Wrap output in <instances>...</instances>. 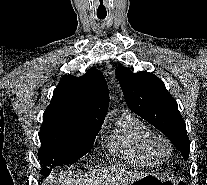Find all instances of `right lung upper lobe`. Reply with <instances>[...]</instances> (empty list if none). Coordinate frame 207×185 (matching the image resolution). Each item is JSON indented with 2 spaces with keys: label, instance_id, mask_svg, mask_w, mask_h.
I'll return each instance as SVG.
<instances>
[{
  "label": "right lung upper lobe",
  "instance_id": "1",
  "mask_svg": "<svg viewBox=\"0 0 207 185\" xmlns=\"http://www.w3.org/2000/svg\"><path fill=\"white\" fill-rule=\"evenodd\" d=\"M108 105L106 80L99 70L91 68L80 78L68 75L61 78L43 120L101 127Z\"/></svg>",
  "mask_w": 207,
  "mask_h": 185
}]
</instances>
